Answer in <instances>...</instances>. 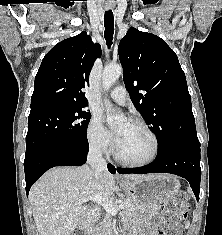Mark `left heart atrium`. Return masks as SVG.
Segmentation results:
<instances>
[{"label":"left heart atrium","instance_id":"1","mask_svg":"<svg viewBox=\"0 0 222 235\" xmlns=\"http://www.w3.org/2000/svg\"><path fill=\"white\" fill-rule=\"evenodd\" d=\"M119 138H120V134L117 132V133H116L117 142H118Z\"/></svg>","mask_w":222,"mask_h":235}]
</instances>
